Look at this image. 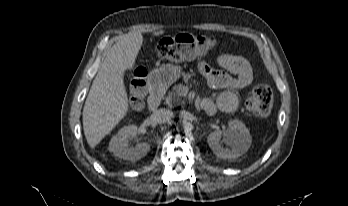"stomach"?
I'll list each match as a JSON object with an SVG mask.
<instances>
[{
	"label": "stomach",
	"mask_w": 348,
	"mask_h": 206,
	"mask_svg": "<svg viewBox=\"0 0 348 206\" xmlns=\"http://www.w3.org/2000/svg\"><path fill=\"white\" fill-rule=\"evenodd\" d=\"M184 42L181 43L188 59H195L206 55L208 49L214 44L211 38L206 36H194L185 34ZM181 68L179 66L168 63L151 72L150 78L157 86L168 87L179 79Z\"/></svg>",
	"instance_id": "1"
}]
</instances>
